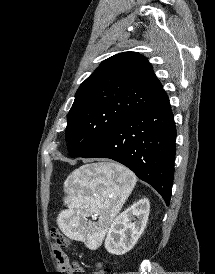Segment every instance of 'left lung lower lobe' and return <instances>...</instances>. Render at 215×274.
Returning a JSON list of instances; mask_svg holds the SVG:
<instances>
[{
  "label": "left lung lower lobe",
  "mask_w": 215,
  "mask_h": 274,
  "mask_svg": "<svg viewBox=\"0 0 215 274\" xmlns=\"http://www.w3.org/2000/svg\"><path fill=\"white\" fill-rule=\"evenodd\" d=\"M176 127L167 94L122 120L83 158H109L154 187L169 205Z\"/></svg>",
  "instance_id": "0a47b994"
}]
</instances>
